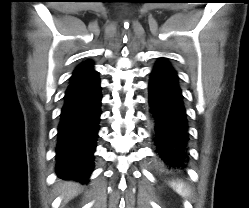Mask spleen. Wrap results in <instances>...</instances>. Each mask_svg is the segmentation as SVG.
<instances>
[{
    "mask_svg": "<svg viewBox=\"0 0 249 208\" xmlns=\"http://www.w3.org/2000/svg\"><path fill=\"white\" fill-rule=\"evenodd\" d=\"M172 188L181 196L185 197L188 195V190L187 189H184V186L182 183H176V182H173L171 184Z\"/></svg>",
    "mask_w": 249,
    "mask_h": 208,
    "instance_id": "3e777b00",
    "label": "spleen"
}]
</instances>
